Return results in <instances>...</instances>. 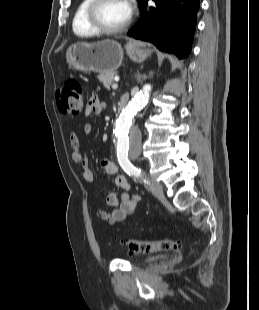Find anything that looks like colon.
<instances>
[{"label": "colon", "instance_id": "1", "mask_svg": "<svg viewBox=\"0 0 259 310\" xmlns=\"http://www.w3.org/2000/svg\"><path fill=\"white\" fill-rule=\"evenodd\" d=\"M56 104L65 114L79 115L84 110V98L81 84L76 79H68L56 92ZM122 244L127 246L133 254L142 255L177 249L180 245L177 240H142L125 239Z\"/></svg>", "mask_w": 259, "mask_h": 310}]
</instances>
